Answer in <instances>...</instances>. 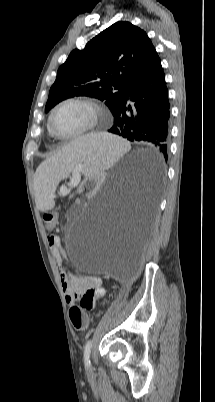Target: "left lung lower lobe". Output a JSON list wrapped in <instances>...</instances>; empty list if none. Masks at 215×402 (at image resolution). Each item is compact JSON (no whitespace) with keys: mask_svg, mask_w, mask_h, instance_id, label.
<instances>
[{"mask_svg":"<svg viewBox=\"0 0 215 402\" xmlns=\"http://www.w3.org/2000/svg\"><path fill=\"white\" fill-rule=\"evenodd\" d=\"M113 117L110 133L129 141L151 143L167 159L170 104L160 58L129 85ZM162 173L160 167L159 173L148 177L151 191L156 189V181Z\"/></svg>","mask_w":215,"mask_h":402,"instance_id":"obj_1","label":"left lung lower lobe"}]
</instances>
